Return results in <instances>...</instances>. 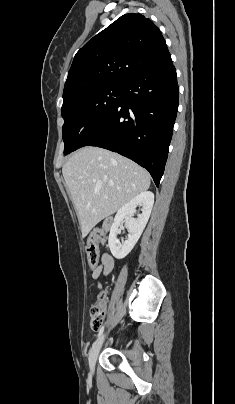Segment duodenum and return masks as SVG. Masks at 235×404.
I'll return each instance as SVG.
<instances>
[{"label": "duodenum", "mask_w": 235, "mask_h": 404, "mask_svg": "<svg viewBox=\"0 0 235 404\" xmlns=\"http://www.w3.org/2000/svg\"><path fill=\"white\" fill-rule=\"evenodd\" d=\"M111 225H112V221L110 219H106L104 221V227L105 228H109V227H111Z\"/></svg>", "instance_id": "obj_1"}]
</instances>
